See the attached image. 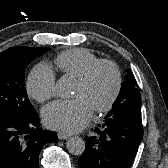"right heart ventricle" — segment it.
I'll return each instance as SVG.
<instances>
[{
    "instance_id": "right-heart-ventricle-1",
    "label": "right heart ventricle",
    "mask_w": 168,
    "mask_h": 168,
    "mask_svg": "<svg viewBox=\"0 0 168 168\" xmlns=\"http://www.w3.org/2000/svg\"><path fill=\"white\" fill-rule=\"evenodd\" d=\"M99 58L85 48H74L61 52L55 58V64L68 76L78 78Z\"/></svg>"
}]
</instances>
